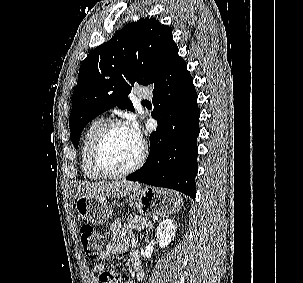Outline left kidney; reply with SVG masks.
Segmentation results:
<instances>
[{
	"label": "left kidney",
	"instance_id": "left-kidney-1",
	"mask_svg": "<svg viewBox=\"0 0 303 283\" xmlns=\"http://www.w3.org/2000/svg\"><path fill=\"white\" fill-rule=\"evenodd\" d=\"M176 226L171 219L163 220L156 231V237L161 248H165L174 239Z\"/></svg>",
	"mask_w": 303,
	"mask_h": 283
}]
</instances>
